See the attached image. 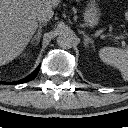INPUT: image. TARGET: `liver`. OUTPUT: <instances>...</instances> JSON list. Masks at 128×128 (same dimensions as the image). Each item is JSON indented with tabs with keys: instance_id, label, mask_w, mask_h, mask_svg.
I'll return each instance as SVG.
<instances>
[{
	"instance_id": "1",
	"label": "liver",
	"mask_w": 128,
	"mask_h": 128,
	"mask_svg": "<svg viewBox=\"0 0 128 128\" xmlns=\"http://www.w3.org/2000/svg\"><path fill=\"white\" fill-rule=\"evenodd\" d=\"M61 0H0V66L15 59L27 46L43 11L53 15Z\"/></svg>"
}]
</instances>
